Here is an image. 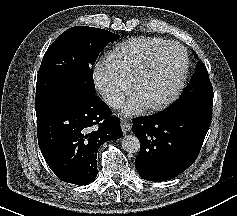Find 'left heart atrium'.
I'll return each instance as SVG.
<instances>
[{
    "mask_svg": "<svg viewBox=\"0 0 237 216\" xmlns=\"http://www.w3.org/2000/svg\"><path fill=\"white\" fill-rule=\"evenodd\" d=\"M138 112V105L133 100H126L122 103V114L126 117H133Z\"/></svg>",
    "mask_w": 237,
    "mask_h": 216,
    "instance_id": "left-heart-atrium-1",
    "label": "left heart atrium"
}]
</instances>
